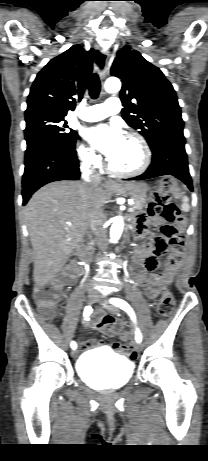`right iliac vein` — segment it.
Returning a JSON list of instances; mask_svg holds the SVG:
<instances>
[{"label":"right iliac vein","mask_w":208,"mask_h":461,"mask_svg":"<svg viewBox=\"0 0 208 461\" xmlns=\"http://www.w3.org/2000/svg\"><path fill=\"white\" fill-rule=\"evenodd\" d=\"M97 300V294L93 290H89L87 294V302L88 304H93ZM78 351L76 349L72 350L71 355L72 357H76Z\"/></svg>","instance_id":"63e3f726"}]
</instances>
